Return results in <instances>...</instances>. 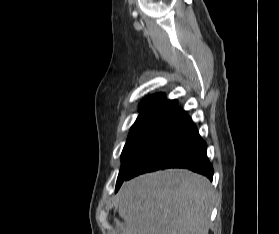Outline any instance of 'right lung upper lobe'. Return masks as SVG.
<instances>
[{"mask_svg":"<svg viewBox=\"0 0 279 234\" xmlns=\"http://www.w3.org/2000/svg\"><path fill=\"white\" fill-rule=\"evenodd\" d=\"M177 106L176 101L167 100L163 93L154 94L152 96L146 97L140 103V111L152 110L159 108H174Z\"/></svg>","mask_w":279,"mask_h":234,"instance_id":"obj_1","label":"right lung upper lobe"}]
</instances>
